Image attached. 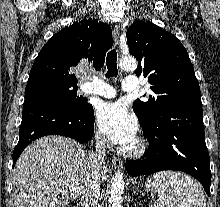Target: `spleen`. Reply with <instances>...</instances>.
I'll use <instances>...</instances> for the list:
<instances>
[{"instance_id":"obj_1","label":"spleen","mask_w":220,"mask_h":207,"mask_svg":"<svg viewBox=\"0 0 220 207\" xmlns=\"http://www.w3.org/2000/svg\"><path fill=\"white\" fill-rule=\"evenodd\" d=\"M154 182L159 193L154 207H206L202 187L186 174L161 171Z\"/></svg>"}]
</instances>
